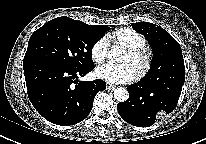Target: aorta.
Masks as SVG:
<instances>
[{
  "label": "aorta",
  "instance_id": "762f6f07",
  "mask_svg": "<svg viewBox=\"0 0 206 144\" xmlns=\"http://www.w3.org/2000/svg\"><path fill=\"white\" fill-rule=\"evenodd\" d=\"M123 53L124 50L120 46H113L109 51V56L116 61H121ZM113 94L118 102H124L129 98V93L125 88H117Z\"/></svg>",
  "mask_w": 206,
  "mask_h": 144
}]
</instances>
